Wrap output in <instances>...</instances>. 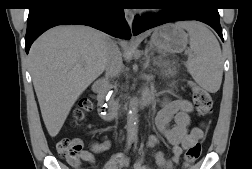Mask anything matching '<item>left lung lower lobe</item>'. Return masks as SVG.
Here are the masks:
<instances>
[{"label": "left lung lower lobe", "instance_id": "obj_1", "mask_svg": "<svg viewBox=\"0 0 252 169\" xmlns=\"http://www.w3.org/2000/svg\"><path fill=\"white\" fill-rule=\"evenodd\" d=\"M163 11L144 16H136L133 34L138 35L153 27L181 20H196L211 26L223 40L215 0H169Z\"/></svg>", "mask_w": 252, "mask_h": 169}]
</instances>
